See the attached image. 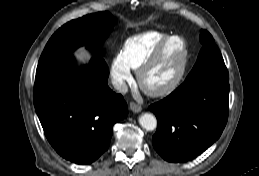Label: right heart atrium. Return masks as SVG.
<instances>
[{
  "mask_svg": "<svg viewBox=\"0 0 259 176\" xmlns=\"http://www.w3.org/2000/svg\"><path fill=\"white\" fill-rule=\"evenodd\" d=\"M109 72L112 83L118 91H123L132 81L130 69L125 64L121 52L112 57Z\"/></svg>",
  "mask_w": 259,
  "mask_h": 176,
  "instance_id": "right-heart-atrium-1",
  "label": "right heart atrium"
}]
</instances>
